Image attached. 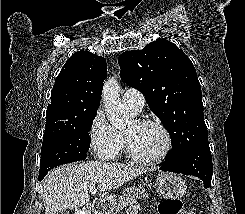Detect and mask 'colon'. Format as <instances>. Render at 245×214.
<instances>
[{
	"label": "colon",
	"instance_id": "5ec220e1",
	"mask_svg": "<svg viewBox=\"0 0 245 214\" xmlns=\"http://www.w3.org/2000/svg\"><path fill=\"white\" fill-rule=\"evenodd\" d=\"M159 214H195L192 210L183 209L178 199H166L159 205Z\"/></svg>",
	"mask_w": 245,
	"mask_h": 214
}]
</instances>
